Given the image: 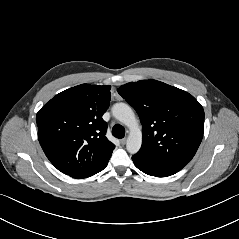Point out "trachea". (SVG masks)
<instances>
[{
    "label": "trachea",
    "mask_w": 239,
    "mask_h": 239,
    "mask_svg": "<svg viewBox=\"0 0 239 239\" xmlns=\"http://www.w3.org/2000/svg\"><path fill=\"white\" fill-rule=\"evenodd\" d=\"M112 135L116 138H123L125 136V129L123 126L116 124L112 128Z\"/></svg>",
    "instance_id": "obj_1"
}]
</instances>
